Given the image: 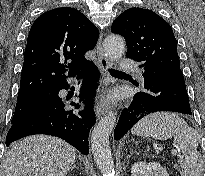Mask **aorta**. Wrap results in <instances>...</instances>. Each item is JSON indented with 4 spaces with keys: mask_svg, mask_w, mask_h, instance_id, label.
Returning <instances> with one entry per match:
<instances>
[{
    "mask_svg": "<svg viewBox=\"0 0 205 176\" xmlns=\"http://www.w3.org/2000/svg\"><path fill=\"white\" fill-rule=\"evenodd\" d=\"M103 51L111 61L121 59L125 52V40L111 34L103 42ZM116 123V114L110 113L94 127L91 135V149L94 160L103 176H114V162L109 146V136Z\"/></svg>",
    "mask_w": 205,
    "mask_h": 176,
    "instance_id": "aorta-1",
    "label": "aorta"
}]
</instances>
